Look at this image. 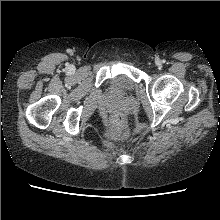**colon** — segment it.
<instances>
[{
	"instance_id": "obj_1",
	"label": "colon",
	"mask_w": 220,
	"mask_h": 220,
	"mask_svg": "<svg viewBox=\"0 0 220 220\" xmlns=\"http://www.w3.org/2000/svg\"><path fill=\"white\" fill-rule=\"evenodd\" d=\"M112 134L115 138L122 140L129 136L128 129L120 117H115L112 124Z\"/></svg>"
}]
</instances>
